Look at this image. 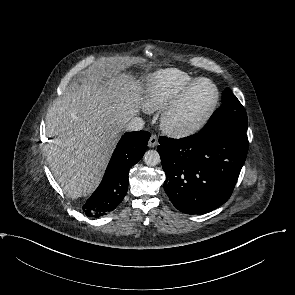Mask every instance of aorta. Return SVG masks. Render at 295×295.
Instances as JSON below:
<instances>
[{
    "mask_svg": "<svg viewBox=\"0 0 295 295\" xmlns=\"http://www.w3.org/2000/svg\"><path fill=\"white\" fill-rule=\"evenodd\" d=\"M144 162L148 166H156L160 163V155L156 150H148L144 154Z\"/></svg>",
    "mask_w": 295,
    "mask_h": 295,
    "instance_id": "1",
    "label": "aorta"
}]
</instances>
